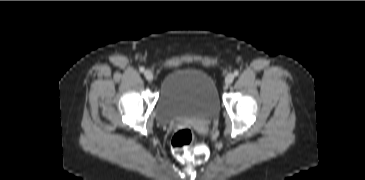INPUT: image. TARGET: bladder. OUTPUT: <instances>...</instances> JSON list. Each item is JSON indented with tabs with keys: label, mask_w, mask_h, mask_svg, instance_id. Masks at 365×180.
<instances>
[{
	"label": "bladder",
	"mask_w": 365,
	"mask_h": 180,
	"mask_svg": "<svg viewBox=\"0 0 365 180\" xmlns=\"http://www.w3.org/2000/svg\"><path fill=\"white\" fill-rule=\"evenodd\" d=\"M219 110L220 97L212 76L201 69L180 67L163 79L155 114L159 123L169 124L183 119H210Z\"/></svg>",
	"instance_id": "obj_1"
}]
</instances>
